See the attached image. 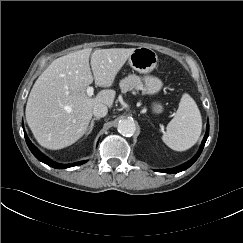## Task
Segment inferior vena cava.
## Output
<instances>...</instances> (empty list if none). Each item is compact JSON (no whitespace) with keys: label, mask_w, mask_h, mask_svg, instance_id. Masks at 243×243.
Masks as SVG:
<instances>
[{"label":"inferior vena cava","mask_w":243,"mask_h":243,"mask_svg":"<svg viewBox=\"0 0 243 243\" xmlns=\"http://www.w3.org/2000/svg\"><path fill=\"white\" fill-rule=\"evenodd\" d=\"M108 113V108L106 105L104 104H97L96 106H94L93 108V114L94 116H96L97 118H102L105 117Z\"/></svg>","instance_id":"602c4592"}]
</instances>
